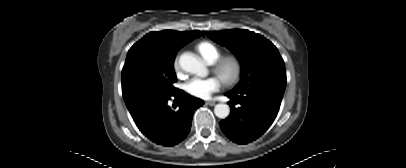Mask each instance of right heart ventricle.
<instances>
[{"mask_svg":"<svg viewBox=\"0 0 406 168\" xmlns=\"http://www.w3.org/2000/svg\"><path fill=\"white\" fill-rule=\"evenodd\" d=\"M197 50L208 63L216 62L221 56V50L209 41L198 43Z\"/></svg>","mask_w":406,"mask_h":168,"instance_id":"obj_1","label":"right heart ventricle"}]
</instances>
